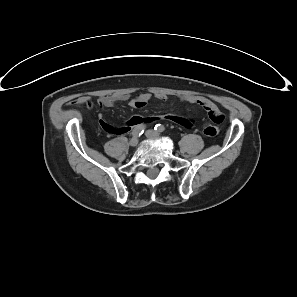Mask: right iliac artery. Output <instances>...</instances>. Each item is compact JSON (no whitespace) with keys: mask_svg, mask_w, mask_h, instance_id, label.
Here are the masks:
<instances>
[{"mask_svg":"<svg viewBox=\"0 0 297 297\" xmlns=\"http://www.w3.org/2000/svg\"><path fill=\"white\" fill-rule=\"evenodd\" d=\"M144 129H145L144 125H139L133 130L132 135L133 136L141 135L144 132Z\"/></svg>","mask_w":297,"mask_h":297,"instance_id":"obj_1","label":"right iliac artery"}]
</instances>
